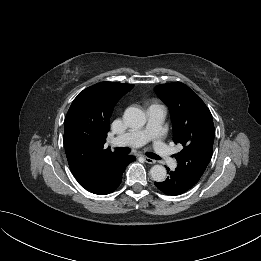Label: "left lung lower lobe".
Segmentation results:
<instances>
[{
	"mask_svg": "<svg viewBox=\"0 0 261 261\" xmlns=\"http://www.w3.org/2000/svg\"><path fill=\"white\" fill-rule=\"evenodd\" d=\"M166 169L169 174L167 179L163 182H154L156 187L164 194L172 196L181 195L195 186L196 183L177 168L174 171H171L169 168Z\"/></svg>",
	"mask_w": 261,
	"mask_h": 261,
	"instance_id": "left-lung-lower-lobe-1",
	"label": "left lung lower lobe"
}]
</instances>
